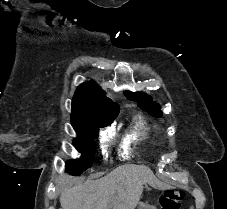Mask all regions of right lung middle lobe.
Returning <instances> with one entry per match:
<instances>
[{
	"instance_id": "obj_1",
	"label": "right lung middle lobe",
	"mask_w": 227,
	"mask_h": 209,
	"mask_svg": "<svg viewBox=\"0 0 227 209\" xmlns=\"http://www.w3.org/2000/svg\"><path fill=\"white\" fill-rule=\"evenodd\" d=\"M113 120L96 116L72 120V126L77 132V138L73 140V145L82 154L80 159L70 160L66 163L67 170L72 175H80L91 167L96 150L93 138L98 137L100 127L108 126Z\"/></svg>"
}]
</instances>
